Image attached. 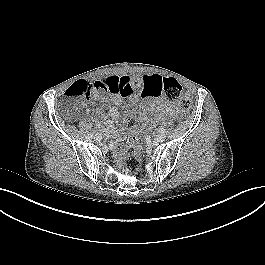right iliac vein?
Returning a JSON list of instances; mask_svg holds the SVG:
<instances>
[{"instance_id":"right-iliac-vein-1","label":"right iliac vein","mask_w":265,"mask_h":265,"mask_svg":"<svg viewBox=\"0 0 265 265\" xmlns=\"http://www.w3.org/2000/svg\"><path fill=\"white\" fill-rule=\"evenodd\" d=\"M94 139L96 141H101L102 138H101V136L99 134H96L95 137H94Z\"/></svg>"}]
</instances>
